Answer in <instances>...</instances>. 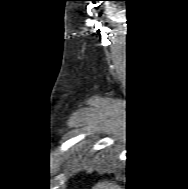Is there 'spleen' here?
Masks as SVG:
<instances>
[{
  "label": "spleen",
  "instance_id": "spleen-1",
  "mask_svg": "<svg viewBox=\"0 0 188 189\" xmlns=\"http://www.w3.org/2000/svg\"><path fill=\"white\" fill-rule=\"evenodd\" d=\"M93 189H119L115 184L107 181L99 182Z\"/></svg>",
  "mask_w": 188,
  "mask_h": 189
}]
</instances>
